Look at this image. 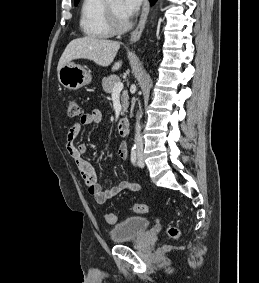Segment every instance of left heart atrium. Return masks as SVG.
I'll list each match as a JSON object with an SVG mask.
<instances>
[{
	"label": "left heart atrium",
	"mask_w": 259,
	"mask_h": 283,
	"mask_svg": "<svg viewBox=\"0 0 259 283\" xmlns=\"http://www.w3.org/2000/svg\"><path fill=\"white\" fill-rule=\"evenodd\" d=\"M142 0H122L121 13L128 19L130 18L141 5Z\"/></svg>",
	"instance_id": "left-heart-atrium-1"
}]
</instances>
